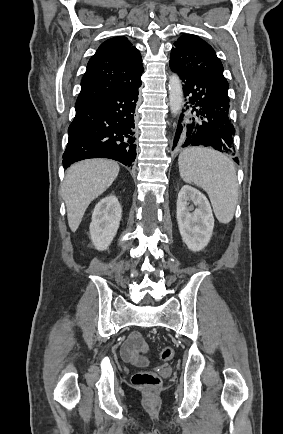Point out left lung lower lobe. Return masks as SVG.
<instances>
[{
  "instance_id": "0a47b994",
  "label": "left lung lower lobe",
  "mask_w": 283,
  "mask_h": 434,
  "mask_svg": "<svg viewBox=\"0 0 283 434\" xmlns=\"http://www.w3.org/2000/svg\"><path fill=\"white\" fill-rule=\"evenodd\" d=\"M182 80L185 105L180 114L174 144L207 146L232 154L234 127L230 124L228 89L169 61ZM234 161L239 163L238 158Z\"/></svg>"
}]
</instances>
